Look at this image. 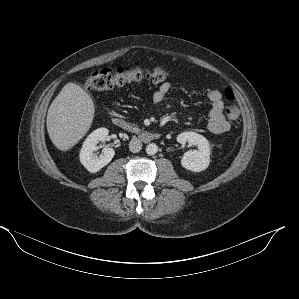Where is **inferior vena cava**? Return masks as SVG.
<instances>
[{
	"instance_id": "inferior-vena-cava-1",
	"label": "inferior vena cava",
	"mask_w": 299,
	"mask_h": 299,
	"mask_svg": "<svg viewBox=\"0 0 299 299\" xmlns=\"http://www.w3.org/2000/svg\"><path fill=\"white\" fill-rule=\"evenodd\" d=\"M129 149L133 153H137L142 149V142L140 139L133 137L129 142Z\"/></svg>"
}]
</instances>
